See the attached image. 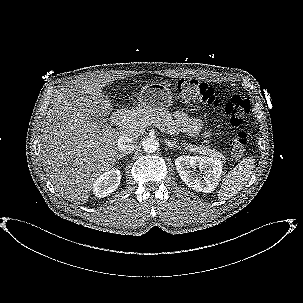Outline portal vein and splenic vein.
<instances>
[{
  "label": "portal vein and splenic vein",
  "mask_w": 303,
  "mask_h": 303,
  "mask_svg": "<svg viewBox=\"0 0 303 303\" xmlns=\"http://www.w3.org/2000/svg\"><path fill=\"white\" fill-rule=\"evenodd\" d=\"M148 125H153V126L159 128L161 130V132L166 133V131H165L166 129L158 122L151 121L148 123Z\"/></svg>",
  "instance_id": "1"
}]
</instances>
